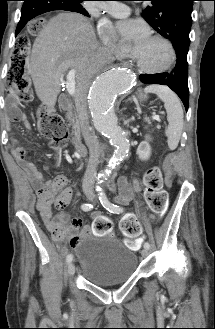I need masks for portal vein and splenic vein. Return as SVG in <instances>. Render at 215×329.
<instances>
[{
    "label": "portal vein and splenic vein",
    "instance_id": "1",
    "mask_svg": "<svg viewBox=\"0 0 215 329\" xmlns=\"http://www.w3.org/2000/svg\"><path fill=\"white\" fill-rule=\"evenodd\" d=\"M75 76H76V71L74 69H71L67 74L66 88H67L68 93L71 96H74L75 92H76V89H75V85H76ZM152 118L154 120H157V121L160 120V116L156 115V114H153Z\"/></svg>",
    "mask_w": 215,
    "mask_h": 329
}]
</instances>
